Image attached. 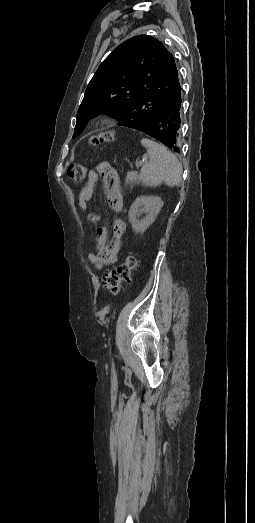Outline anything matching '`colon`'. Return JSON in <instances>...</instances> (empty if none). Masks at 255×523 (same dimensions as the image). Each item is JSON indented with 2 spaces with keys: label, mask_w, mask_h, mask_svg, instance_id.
Listing matches in <instances>:
<instances>
[{
  "label": "colon",
  "mask_w": 255,
  "mask_h": 523,
  "mask_svg": "<svg viewBox=\"0 0 255 523\" xmlns=\"http://www.w3.org/2000/svg\"><path fill=\"white\" fill-rule=\"evenodd\" d=\"M114 139L113 131H106L94 134L89 138V144L96 146ZM68 176L76 183L81 182L86 175V166L83 164H72L67 170ZM138 260L135 255H128L116 267L111 268L105 274V287L112 295H117L123 284H128L132 280V273L136 270Z\"/></svg>",
  "instance_id": "colon-1"
}]
</instances>
